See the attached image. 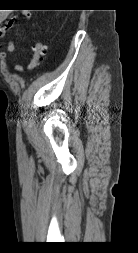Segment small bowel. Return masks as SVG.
<instances>
[{"label": "small bowel", "instance_id": "obj_1", "mask_svg": "<svg viewBox=\"0 0 138 253\" xmlns=\"http://www.w3.org/2000/svg\"><path fill=\"white\" fill-rule=\"evenodd\" d=\"M19 17H24L26 19H29L31 17V15H30V13L22 12L19 15L8 19L5 23V25L0 27V38L6 37L9 30L15 25V23L18 20ZM3 19H4V15H1L0 16V23L2 22ZM14 50H15L14 43L12 41L8 40L6 42V50L4 52L0 53V58L5 60L6 56H7V53H11ZM22 69H23V66L21 64H17L16 67H15L16 71H22Z\"/></svg>", "mask_w": 138, "mask_h": 253}]
</instances>
